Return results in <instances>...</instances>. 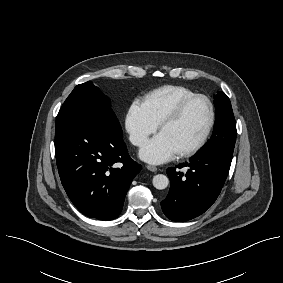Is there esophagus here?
<instances>
[{
	"label": "esophagus",
	"instance_id": "34e87169",
	"mask_svg": "<svg viewBox=\"0 0 283 283\" xmlns=\"http://www.w3.org/2000/svg\"><path fill=\"white\" fill-rule=\"evenodd\" d=\"M146 168H147L149 171H152V172H156V171H157V167H156V166H153V165H147Z\"/></svg>",
	"mask_w": 283,
	"mask_h": 283
}]
</instances>
